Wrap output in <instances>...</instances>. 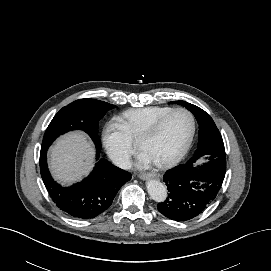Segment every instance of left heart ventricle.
I'll list each match as a JSON object with an SVG mask.
<instances>
[{
  "instance_id": "b2bd125f",
  "label": "left heart ventricle",
  "mask_w": 271,
  "mask_h": 271,
  "mask_svg": "<svg viewBox=\"0 0 271 271\" xmlns=\"http://www.w3.org/2000/svg\"><path fill=\"white\" fill-rule=\"evenodd\" d=\"M192 129L190 116L185 112L171 115L153 137L146 140L143 150L155 162L163 161L177 154L186 144Z\"/></svg>"
}]
</instances>
